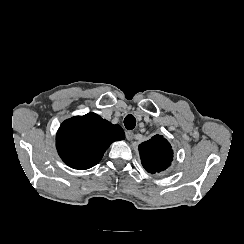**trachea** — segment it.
<instances>
[{"label":"trachea","mask_w":244,"mask_h":244,"mask_svg":"<svg viewBox=\"0 0 244 244\" xmlns=\"http://www.w3.org/2000/svg\"><path fill=\"white\" fill-rule=\"evenodd\" d=\"M124 125L126 127V129L128 130H132L134 129L135 125H136V119L133 115L128 114L125 118H124Z\"/></svg>","instance_id":"obj_1"}]
</instances>
